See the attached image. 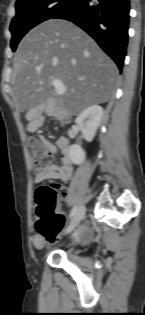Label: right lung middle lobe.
<instances>
[{"mask_svg":"<svg viewBox=\"0 0 145 315\" xmlns=\"http://www.w3.org/2000/svg\"><path fill=\"white\" fill-rule=\"evenodd\" d=\"M74 0H21L16 2V15L11 21L13 51L22 37L43 21L54 18Z\"/></svg>","mask_w":145,"mask_h":315,"instance_id":"dd1d6c3e","label":"right lung middle lobe"}]
</instances>
